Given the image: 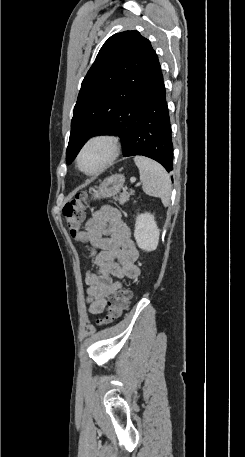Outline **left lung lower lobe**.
I'll list each match as a JSON object with an SVG mask.
<instances>
[{"mask_svg":"<svg viewBox=\"0 0 245 457\" xmlns=\"http://www.w3.org/2000/svg\"><path fill=\"white\" fill-rule=\"evenodd\" d=\"M166 91L161 69L142 105L104 134L117 135L122 140L124 157L141 155L159 162L168 172L173 169V142Z\"/></svg>","mask_w":245,"mask_h":457,"instance_id":"1","label":"left lung lower lobe"}]
</instances>
